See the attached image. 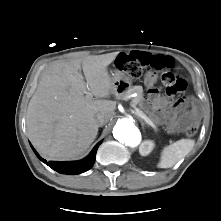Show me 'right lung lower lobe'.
I'll use <instances>...</instances> for the list:
<instances>
[{"mask_svg": "<svg viewBox=\"0 0 221 221\" xmlns=\"http://www.w3.org/2000/svg\"><path fill=\"white\" fill-rule=\"evenodd\" d=\"M101 144V142H99L92 150V152L85 158L79 161H73V162H57V161H49L47 162L45 159L41 158L36 150L33 148V146L31 145L33 151L35 152V154L37 155V157L44 163H46L50 168H52L53 170L57 171L58 173L61 174H71V175H76V174H80L83 173L87 170H89L94 162H95V156H96V152L97 149L99 147V145Z\"/></svg>", "mask_w": 221, "mask_h": 221, "instance_id": "right-lung-lower-lobe-1", "label": "right lung lower lobe"}]
</instances>
